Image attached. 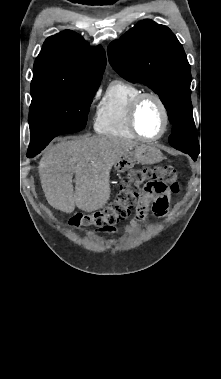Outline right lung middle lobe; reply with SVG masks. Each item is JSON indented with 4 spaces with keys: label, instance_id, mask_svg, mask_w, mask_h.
I'll use <instances>...</instances> for the list:
<instances>
[{
    "label": "right lung middle lobe",
    "instance_id": "1",
    "mask_svg": "<svg viewBox=\"0 0 221 379\" xmlns=\"http://www.w3.org/2000/svg\"><path fill=\"white\" fill-rule=\"evenodd\" d=\"M97 89L98 86H78L32 95L29 147H45L60 134L81 131Z\"/></svg>",
    "mask_w": 221,
    "mask_h": 379
}]
</instances>
